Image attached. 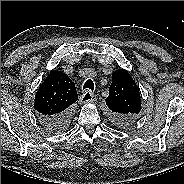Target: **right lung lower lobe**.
<instances>
[{
  "label": "right lung lower lobe",
  "instance_id": "1",
  "mask_svg": "<svg viewBox=\"0 0 184 184\" xmlns=\"http://www.w3.org/2000/svg\"><path fill=\"white\" fill-rule=\"evenodd\" d=\"M71 118L70 109L62 114L52 117H39L41 123L47 128L48 131H56L66 125Z\"/></svg>",
  "mask_w": 184,
  "mask_h": 184
}]
</instances>
